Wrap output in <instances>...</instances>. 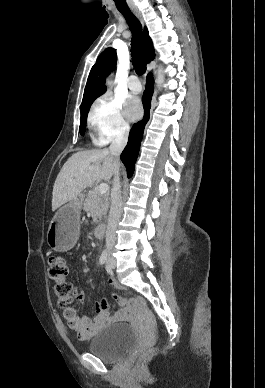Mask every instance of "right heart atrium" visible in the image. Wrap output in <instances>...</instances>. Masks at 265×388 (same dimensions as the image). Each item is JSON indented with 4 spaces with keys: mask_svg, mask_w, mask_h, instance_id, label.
<instances>
[{
    "mask_svg": "<svg viewBox=\"0 0 265 388\" xmlns=\"http://www.w3.org/2000/svg\"><path fill=\"white\" fill-rule=\"evenodd\" d=\"M91 118L102 141H108L119 133L124 134L129 129L122 102L110 94H105L95 101Z\"/></svg>",
    "mask_w": 265,
    "mask_h": 388,
    "instance_id": "obj_1",
    "label": "right heart atrium"
}]
</instances>
